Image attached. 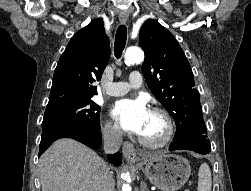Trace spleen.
<instances>
[{
  "label": "spleen",
  "mask_w": 251,
  "mask_h": 191,
  "mask_svg": "<svg viewBox=\"0 0 251 191\" xmlns=\"http://www.w3.org/2000/svg\"><path fill=\"white\" fill-rule=\"evenodd\" d=\"M197 191H211L212 175L208 163H201L198 171Z\"/></svg>",
  "instance_id": "spleen-1"
}]
</instances>
